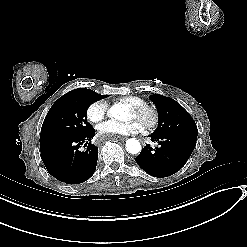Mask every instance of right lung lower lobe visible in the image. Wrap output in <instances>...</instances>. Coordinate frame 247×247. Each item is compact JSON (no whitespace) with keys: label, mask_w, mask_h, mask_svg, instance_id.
Segmentation results:
<instances>
[{"label":"right lung lower lobe","mask_w":247,"mask_h":247,"mask_svg":"<svg viewBox=\"0 0 247 247\" xmlns=\"http://www.w3.org/2000/svg\"><path fill=\"white\" fill-rule=\"evenodd\" d=\"M95 130L78 137H65L40 144L41 158L50 175L67 184L88 180L96 170L98 148L91 144ZM86 151H79L83 144Z\"/></svg>","instance_id":"98d812e1"}]
</instances>
